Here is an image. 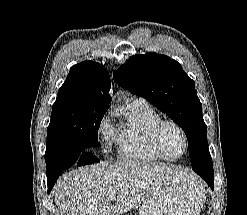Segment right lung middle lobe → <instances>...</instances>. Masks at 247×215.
Masks as SVG:
<instances>
[{
  "instance_id": "obj_1",
  "label": "right lung middle lobe",
  "mask_w": 247,
  "mask_h": 215,
  "mask_svg": "<svg viewBox=\"0 0 247 215\" xmlns=\"http://www.w3.org/2000/svg\"><path fill=\"white\" fill-rule=\"evenodd\" d=\"M108 107L84 101L71 91L59 92L47 128L45 160L67 147H98V129Z\"/></svg>"
}]
</instances>
